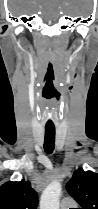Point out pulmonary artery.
Returning a JSON list of instances; mask_svg holds the SVG:
<instances>
[{
  "label": "pulmonary artery",
  "mask_w": 98,
  "mask_h": 209,
  "mask_svg": "<svg viewBox=\"0 0 98 209\" xmlns=\"http://www.w3.org/2000/svg\"><path fill=\"white\" fill-rule=\"evenodd\" d=\"M74 205V200L71 198H64L60 203V209H70Z\"/></svg>",
  "instance_id": "e3ab8cb5"
}]
</instances>
